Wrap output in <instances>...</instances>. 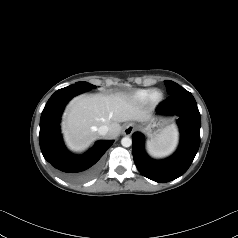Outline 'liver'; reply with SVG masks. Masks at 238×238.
<instances>
[{"label":"liver","instance_id":"obj_1","mask_svg":"<svg viewBox=\"0 0 238 238\" xmlns=\"http://www.w3.org/2000/svg\"><path fill=\"white\" fill-rule=\"evenodd\" d=\"M150 118L151 114L126 94L81 95L69 103L62 132L68 148L81 152L98 138L97 129L102 125L108 126V137L115 138L121 131L120 122Z\"/></svg>","mask_w":238,"mask_h":238}]
</instances>
